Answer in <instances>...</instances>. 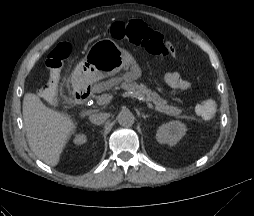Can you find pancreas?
I'll return each instance as SVG.
<instances>
[{"instance_id":"1","label":"pancreas","mask_w":254,"mask_h":216,"mask_svg":"<svg viewBox=\"0 0 254 216\" xmlns=\"http://www.w3.org/2000/svg\"><path fill=\"white\" fill-rule=\"evenodd\" d=\"M119 85L128 92H132L135 96L142 97L147 102H152L155 105V109L161 113L181 119H189L187 115L182 114L181 109L168 105L167 101L161 98L156 92L151 91L143 84H137L136 82L125 77L112 78L104 83L99 84L98 86L104 90H109L112 88H117Z\"/></svg>"}]
</instances>
